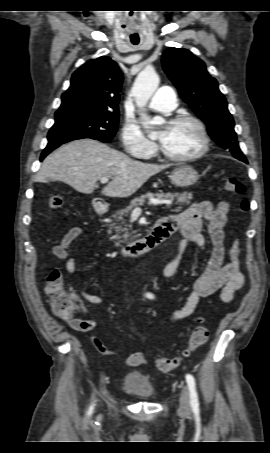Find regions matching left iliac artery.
<instances>
[{
	"mask_svg": "<svg viewBox=\"0 0 270 453\" xmlns=\"http://www.w3.org/2000/svg\"><path fill=\"white\" fill-rule=\"evenodd\" d=\"M149 298H153L151 294L147 295ZM186 382L188 384L190 390V403L194 411H198L199 409V402H198V395L196 391V384L195 379L191 374L186 375Z\"/></svg>",
	"mask_w": 270,
	"mask_h": 453,
	"instance_id": "1",
	"label": "left iliac artery"
}]
</instances>
